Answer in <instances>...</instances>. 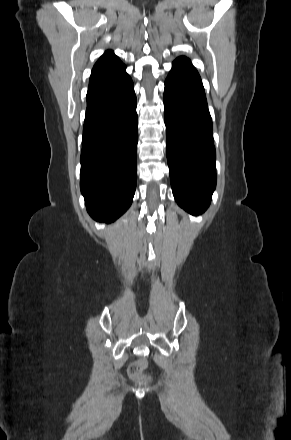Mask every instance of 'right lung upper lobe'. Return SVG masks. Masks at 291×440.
<instances>
[{
	"instance_id": "1",
	"label": "right lung upper lobe",
	"mask_w": 291,
	"mask_h": 440,
	"mask_svg": "<svg viewBox=\"0 0 291 440\" xmlns=\"http://www.w3.org/2000/svg\"><path fill=\"white\" fill-rule=\"evenodd\" d=\"M121 66H124V64L120 61V59L114 54L113 51L108 50L96 62L92 69V74L111 71L114 69H118Z\"/></svg>"
}]
</instances>
